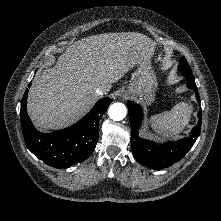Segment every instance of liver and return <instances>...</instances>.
Instances as JSON below:
<instances>
[{"label": "liver", "instance_id": "liver-1", "mask_svg": "<svg viewBox=\"0 0 221 221\" xmlns=\"http://www.w3.org/2000/svg\"><path fill=\"white\" fill-rule=\"evenodd\" d=\"M155 42L136 32L104 33L70 45L53 68L38 74L27 110L40 130L61 129L96 102L95 91L107 94L112 84L134 66L150 65Z\"/></svg>", "mask_w": 221, "mask_h": 221}]
</instances>
